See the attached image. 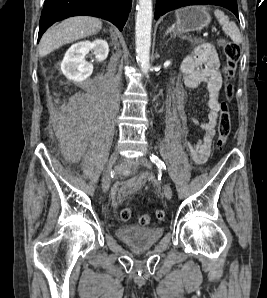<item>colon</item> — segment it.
Returning a JSON list of instances; mask_svg holds the SVG:
<instances>
[{"label": "colon", "instance_id": "1", "mask_svg": "<svg viewBox=\"0 0 267 298\" xmlns=\"http://www.w3.org/2000/svg\"><path fill=\"white\" fill-rule=\"evenodd\" d=\"M224 50L225 54V67L224 75L227 80H230L234 74L236 65L240 57V47L238 44L230 41H222L220 43ZM227 97L232 95V87L230 84L226 85L225 88ZM231 132V116L229 112V107L227 102L221 103L220 108V118L218 124V138H217V147L219 149L223 148ZM133 214L132 210L129 207H124L120 210V218L122 221L128 222L132 219ZM154 217L157 220H163L165 217V212L162 209H158L154 212ZM138 223L140 225H147L151 221L149 215H142L138 218Z\"/></svg>", "mask_w": 267, "mask_h": 298}]
</instances>
